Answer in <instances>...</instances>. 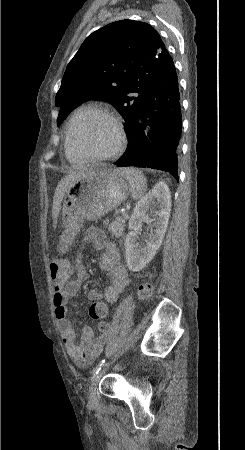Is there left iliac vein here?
<instances>
[{"label":"left iliac vein","mask_w":245,"mask_h":450,"mask_svg":"<svg viewBox=\"0 0 245 450\" xmlns=\"http://www.w3.org/2000/svg\"><path fill=\"white\" fill-rule=\"evenodd\" d=\"M109 366V364H107L97 375H95L91 381V384L89 386V400L90 403H95L96 401V393H97V385L98 382L100 380V378L102 377V375L104 374V372L106 371L107 367Z\"/></svg>","instance_id":"obj_1"}]
</instances>
